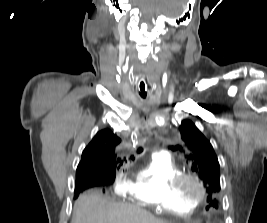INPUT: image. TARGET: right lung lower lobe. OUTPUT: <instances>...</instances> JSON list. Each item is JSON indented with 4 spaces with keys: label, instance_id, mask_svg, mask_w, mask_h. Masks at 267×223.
<instances>
[{
    "label": "right lung lower lobe",
    "instance_id": "right-lung-lower-lobe-1",
    "mask_svg": "<svg viewBox=\"0 0 267 223\" xmlns=\"http://www.w3.org/2000/svg\"><path fill=\"white\" fill-rule=\"evenodd\" d=\"M112 181L106 180L103 176H82L76 179L75 192L76 196L87 188L94 186H105Z\"/></svg>",
    "mask_w": 267,
    "mask_h": 223
}]
</instances>
